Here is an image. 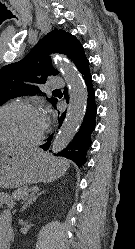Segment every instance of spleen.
<instances>
[{"instance_id":"spleen-1","label":"spleen","mask_w":135,"mask_h":249,"mask_svg":"<svg viewBox=\"0 0 135 249\" xmlns=\"http://www.w3.org/2000/svg\"><path fill=\"white\" fill-rule=\"evenodd\" d=\"M60 161H61L62 164L68 165V162L66 160L61 159Z\"/></svg>"}]
</instances>
